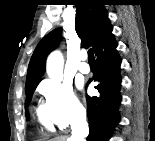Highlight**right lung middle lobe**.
Wrapping results in <instances>:
<instances>
[{"instance_id": "obj_1", "label": "right lung middle lobe", "mask_w": 155, "mask_h": 141, "mask_svg": "<svg viewBox=\"0 0 155 141\" xmlns=\"http://www.w3.org/2000/svg\"><path fill=\"white\" fill-rule=\"evenodd\" d=\"M38 83L33 84L31 86L26 87V102H25V108L28 107L30 101H31V97L33 95V92L35 90V88L37 87ZM26 118H29V114L28 111H26Z\"/></svg>"}]
</instances>
